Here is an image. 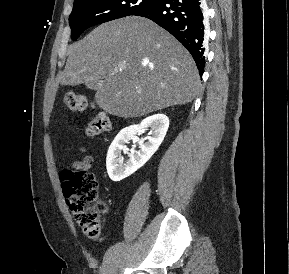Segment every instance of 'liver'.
Listing matches in <instances>:
<instances>
[{"instance_id": "obj_1", "label": "liver", "mask_w": 289, "mask_h": 274, "mask_svg": "<svg viewBox=\"0 0 289 274\" xmlns=\"http://www.w3.org/2000/svg\"><path fill=\"white\" fill-rule=\"evenodd\" d=\"M58 81L93 83L97 105L122 118L190 103L200 86L194 60L183 45L137 16L101 24L71 45Z\"/></svg>"}]
</instances>
